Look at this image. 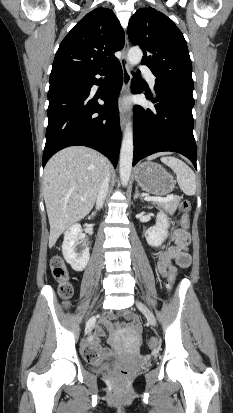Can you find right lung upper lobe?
Masks as SVG:
<instances>
[{
  "instance_id": "1",
  "label": "right lung upper lobe",
  "mask_w": 233,
  "mask_h": 413,
  "mask_svg": "<svg viewBox=\"0 0 233 413\" xmlns=\"http://www.w3.org/2000/svg\"><path fill=\"white\" fill-rule=\"evenodd\" d=\"M124 32L108 8H96L81 19L61 42L55 55L50 80L102 69L116 61L123 48Z\"/></svg>"
}]
</instances>
